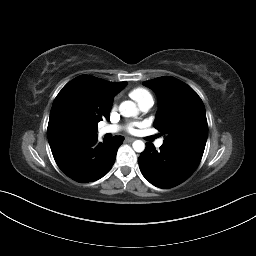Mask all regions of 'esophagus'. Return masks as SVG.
I'll list each match as a JSON object with an SVG mask.
<instances>
[{"instance_id":"obj_1","label":"esophagus","mask_w":256,"mask_h":256,"mask_svg":"<svg viewBox=\"0 0 256 256\" xmlns=\"http://www.w3.org/2000/svg\"><path fill=\"white\" fill-rule=\"evenodd\" d=\"M135 140V138H131V137H126L125 141L126 142H133Z\"/></svg>"}]
</instances>
